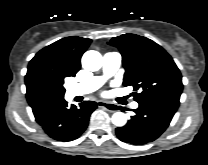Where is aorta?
<instances>
[{
	"mask_svg": "<svg viewBox=\"0 0 208 165\" xmlns=\"http://www.w3.org/2000/svg\"><path fill=\"white\" fill-rule=\"evenodd\" d=\"M102 55L98 51L89 50L82 56V66L89 71H98L102 66ZM112 123L118 127L124 126L127 121V117L123 112H115L112 115Z\"/></svg>",
	"mask_w": 208,
	"mask_h": 165,
	"instance_id": "obj_1",
	"label": "aorta"
}]
</instances>
